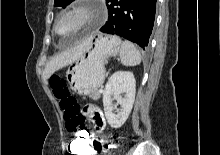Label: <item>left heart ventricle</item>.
Here are the masks:
<instances>
[{
  "instance_id": "obj_1",
  "label": "left heart ventricle",
  "mask_w": 220,
  "mask_h": 155,
  "mask_svg": "<svg viewBox=\"0 0 220 155\" xmlns=\"http://www.w3.org/2000/svg\"><path fill=\"white\" fill-rule=\"evenodd\" d=\"M80 19L76 16L62 18L57 25V31L65 36L72 33L79 25Z\"/></svg>"
}]
</instances>
